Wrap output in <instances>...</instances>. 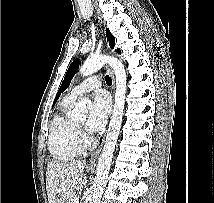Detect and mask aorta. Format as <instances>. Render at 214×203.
I'll use <instances>...</instances> for the list:
<instances>
[{
    "label": "aorta",
    "instance_id": "aorta-1",
    "mask_svg": "<svg viewBox=\"0 0 214 203\" xmlns=\"http://www.w3.org/2000/svg\"><path fill=\"white\" fill-rule=\"evenodd\" d=\"M108 64L114 71L116 77L115 104L109 123L108 132L102 154L98 160L93 190L90 195V203H101L104 187L108 178L115 145L120 133L126 93V72L122 62L111 56L95 55L87 60L80 68V74L87 77L100 70ZM87 99H81L71 113V119L84 120L87 114Z\"/></svg>",
    "mask_w": 214,
    "mask_h": 203
}]
</instances>
